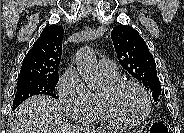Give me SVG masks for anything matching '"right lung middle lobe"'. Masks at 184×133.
I'll list each match as a JSON object with an SVG mask.
<instances>
[{"instance_id":"obj_1","label":"right lung middle lobe","mask_w":184,"mask_h":133,"mask_svg":"<svg viewBox=\"0 0 184 133\" xmlns=\"http://www.w3.org/2000/svg\"><path fill=\"white\" fill-rule=\"evenodd\" d=\"M58 81L59 76L18 79L12 110H15L24 100L34 95H50L56 98L54 90Z\"/></svg>"}]
</instances>
